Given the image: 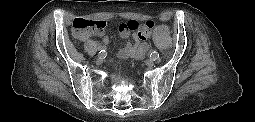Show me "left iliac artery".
<instances>
[{"label": "left iliac artery", "instance_id": "obj_1", "mask_svg": "<svg viewBox=\"0 0 255 122\" xmlns=\"http://www.w3.org/2000/svg\"><path fill=\"white\" fill-rule=\"evenodd\" d=\"M150 57H151V59H153L154 61H155V60H159V53L156 52V51H153V52H151Z\"/></svg>", "mask_w": 255, "mask_h": 122}]
</instances>
